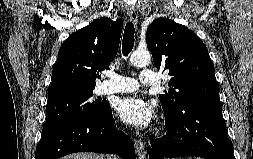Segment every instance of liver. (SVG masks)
<instances>
[{
  "mask_svg": "<svg viewBox=\"0 0 253 159\" xmlns=\"http://www.w3.org/2000/svg\"><path fill=\"white\" fill-rule=\"evenodd\" d=\"M60 159H108V156L92 152L74 153Z\"/></svg>",
  "mask_w": 253,
  "mask_h": 159,
  "instance_id": "liver-1",
  "label": "liver"
}]
</instances>
